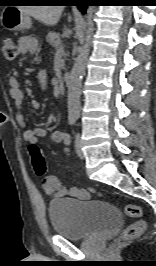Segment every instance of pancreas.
I'll return each instance as SVG.
<instances>
[{"label": "pancreas", "mask_w": 156, "mask_h": 266, "mask_svg": "<svg viewBox=\"0 0 156 266\" xmlns=\"http://www.w3.org/2000/svg\"><path fill=\"white\" fill-rule=\"evenodd\" d=\"M46 41L54 46V47H58L61 43V39H60V35L55 33V32H50L48 33V35L46 36Z\"/></svg>", "instance_id": "cf45deb5"}]
</instances>
